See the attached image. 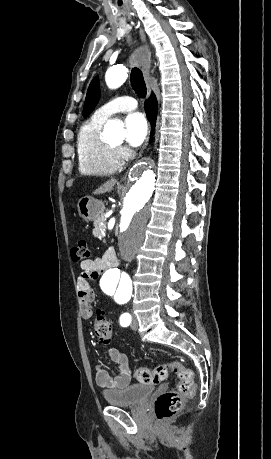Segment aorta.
Segmentation results:
<instances>
[{
	"mask_svg": "<svg viewBox=\"0 0 271 459\" xmlns=\"http://www.w3.org/2000/svg\"><path fill=\"white\" fill-rule=\"evenodd\" d=\"M127 68L116 65L106 72L105 81L109 88L120 87L127 78ZM108 137L122 138V125L110 120L104 127ZM156 183L153 161L149 158L138 161L129 171L128 185L120 197L119 250L123 260L131 261L140 248L152 217L151 197ZM100 287L108 295L117 292L131 293L132 281L128 274L114 264L104 272Z\"/></svg>",
	"mask_w": 271,
	"mask_h": 459,
	"instance_id": "1",
	"label": "aorta"
}]
</instances>
